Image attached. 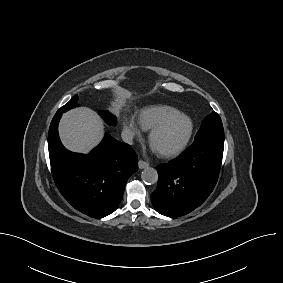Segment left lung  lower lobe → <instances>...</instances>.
Segmentation results:
<instances>
[{
    "instance_id": "0a47b994",
    "label": "left lung lower lobe",
    "mask_w": 283,
    "mask_h": 283,
    "mask_svg": "<svg viewBox=\"0 0 283 283\" xmlns=\"http://www.w3.org/2000/svg\"><path fill=\"white\" fill-rule=\"evenodd\" d=\"M223 148L224 142L199 138L178 158L158 166V185L151 194L155 210L179 217L199 207L217 183Z\"/></svg>"
}]
</instances>
